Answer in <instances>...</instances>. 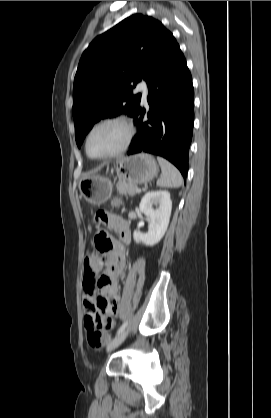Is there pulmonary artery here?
I'll return each instance as SVG.
<instances>
[{
	"instance_id": "1",
	"label": "pulmonary artery",
	"mask_w": 271,
	"mask_h": 418,
	"mask_svg": "<svg viewBox=\"0 0 271 418\" xmlns=\"http://www.w3.org/2000/svg\"><path fill=\"white\" fill-rule=\"evenodd\" d=\"M137 91L142 93L143 100L145 101L148 96V87L146 82H140L137 86Z\"/></svg>"
}]
</instances>
